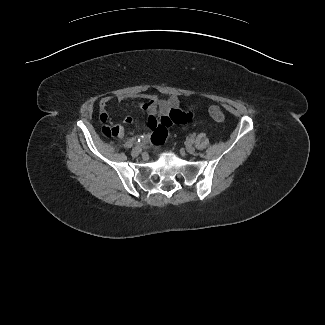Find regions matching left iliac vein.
I'll return each instance as SVG.
<instances>
[{
  "label": "left iliac vein",
  "mask_w": 325,
  "mask_h": 325,
  "mask_svg": "<svg viewBox=\"0 0 325 325\" xmlns=\"http://www.w3.org/2000/svg\"><path fill=\"white\" fill-rule=\"evenodd\" d=\"M186 151L190 154H193L195 152V148L191 144H187Z\"/></svg>",
  "instance_id": "4c4485c4"
}]
</instances>
